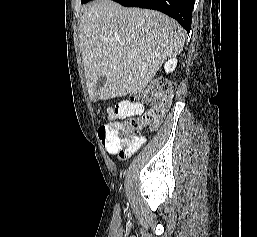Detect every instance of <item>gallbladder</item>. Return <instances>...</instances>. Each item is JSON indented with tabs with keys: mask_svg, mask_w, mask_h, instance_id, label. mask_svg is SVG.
<instances>
[{
	"mask_svg": "<svg viewBox=\"0 0 257 237\" xmlns=\"http://www.w3.org/2000/svg\"><path fill=\"white\" fill-rule=\"evenodd\" d=\"M106 83V77L104 75H101L99 79L97 80V83L95 85V91L98 92L101 87Z\"/></svg>",
	"mask_w": 257,
	"mask_h": 237,
	"instance_id": "obj_1",
	"label": "gallbladder"
}]
</instances>
